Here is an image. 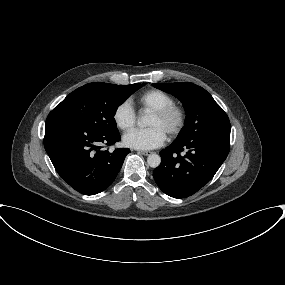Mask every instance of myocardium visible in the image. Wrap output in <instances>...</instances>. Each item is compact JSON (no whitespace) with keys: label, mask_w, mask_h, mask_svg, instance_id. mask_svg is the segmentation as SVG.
I'll return each instance as SVG.
<instances>
[{"label":"myocardium","mask_w":285,"mask_h":285,"mask_svg":"<svg viewBox=\"0 0 285 285\" xmlns=\"http://www.w3.org/2000/svg\"><path fill=\"white\" fill-rule=\"evenodd\" d=\"M152 114L156 115L161 119H174L173 126L167 131V136L169 138L177 137L184 129L187 121L186 109L178 104H170L163 108L154 110Z\"/></svg>","instance_id":"1"}]
</instances>
